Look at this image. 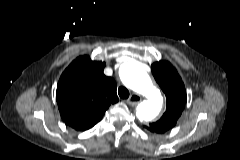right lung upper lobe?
I'll list each match as a JSON object with an SVG mask.
<instances>
[{
	"label": "right lung upper lobe",
	"mask_w": 240,
	"mask_h": 160,
	"mask_svg": "<svg viewBox=\"0 0 240 160\" xmlns=\"http://www.w3.org/2000/svg\"><path fill=\"white\" fill-rule=\"evenodd\" d=\"M105 63L89 56L76 58L62 73L56 91L60 115L75 130L98 123L111 104L118 102L116 82L103 73Z\"/></svg>",
	"instance_id": "obj_1"
}]
</instances>
